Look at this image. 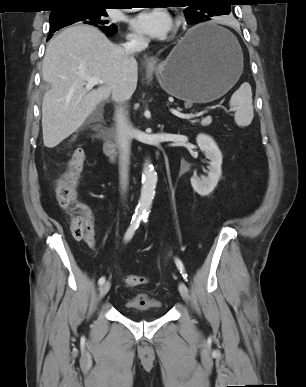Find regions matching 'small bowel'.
Instances as JSON below:
<instances>
[{
	"label": "small bowel",
	"instance_id": "obj_1",
	"mask_svg": "<svg viewBox=\"0 0 306 387\" xmlns=\"http://www.w3.org/2000/svg\"><path fill=\"white\" fill-rule=\"evenodd\" d=\"M83 240L88 247L90 248L95 247V239H94V234L92 230L88 231V233L83 237Z\"/></svg>",
	"mask_w": 306,
	"mask_h": 387
}]
</instances>
